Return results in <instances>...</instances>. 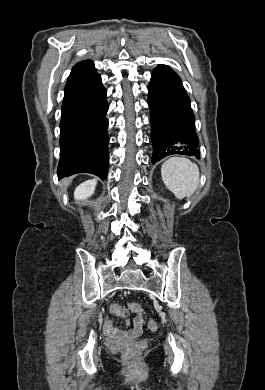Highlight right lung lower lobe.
<instances>
[{"instance_id":"right-lung-lower-lobe-1","label":"right lung lower lobe","mask_w":265,"mask_h":390,"mask_svg":"<svg viewBox=\"0 0 265 390\" xmlns=\"http://www.w3.org/2000/svg\"><path fill=\"white\" fill-rule=\"evenodd\" d=\"M107 111L106 90L93 62L73 69L62 103L59 178L81 172L107 177Z\"/></svg>"}]
</instances>
